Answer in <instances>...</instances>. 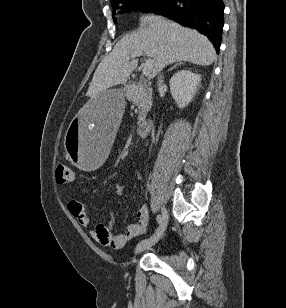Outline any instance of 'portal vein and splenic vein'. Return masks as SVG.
I'll list each match as a JSON object with an SVG mask.
<instances>
[{"mask_svg":"<svg viewBox=\"0 0 286 308\" xmlns=\"http://www.w3.org/2000/svg\"><path fill=\"white\" fill-rule=\"evenodd\" d=\"M143 55V51H135L133 52L128 59L135 58ZM154 62L152 59H147L143 65L142 74L144 76H148L153 69Z\"/></svg>","mask_w":286,"mask_h":308,"instance_id":"portal-vein-and-splenic-vein-1","label":"portal vein and splenic vein"}]
</instances>
